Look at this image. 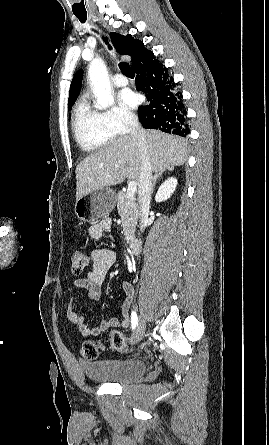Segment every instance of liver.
I'll list each match as a JSON object with an SVG mask.
<instances>
[{"instance_id":"liver-1","label":"liver","mask_w":269,"mask_h":445,"mask_svg":"<svg viewBox=\"0 0 269 445\" xmlns=\"http://www.w3.org/2000/svg\"><path fill=\"white\" fill-rule=\"evenodd\" d=\"M146 141L151 168L155 173L183 165L188 158L187 143L180 137L147 130ZM140 153L131 135L119 137L82 160L76 167V199L122 183L125 178L139 183Z\"/></svg>"}]
</instances>
